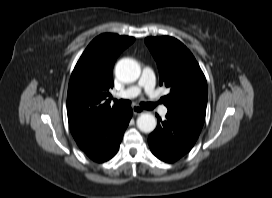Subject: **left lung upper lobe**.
<instances>
[{
    "mask_svg": "<svg viewBox=\"0 0 272 198\" xmlns=\"http://www.w3.org/2000/svg\"><path fill=\"white\" fill-rule=\"evenodd\" d=\"M145 43L157 62L160 85L170 88L161 99L168 111L204 122L207 82L194 56L173 37H148Z\"/></svg>",
    "mask_w": 272,
    "mask_h": 198,
    "instance_id": "5c2ea615",
    "label": "left lung upper lobe"
}]
</instances>
